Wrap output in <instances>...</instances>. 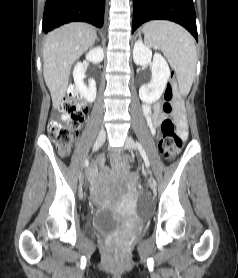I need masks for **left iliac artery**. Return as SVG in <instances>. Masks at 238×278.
Here are the masks:
<instances>
[{
    "instance_id": "left-iliac-artery-1",
    "label": "left iliac artery",
    "mask_w": 238,
    "mask_h": 278,
    "mask_svg": "<svg viewBox=\"0 0 238 278\" xmlns=\"http://www.w3.org/2000/svg\"><path fill=\"white\" fill-rule=\"evenodd\" d=\"M136 146H137V148H138V150H139V152H140V154H141V156L144 160L145 165L149 167L150 162H149V159H148V157L146 155V152L144 151L142 145L139 142L136 141Z\"/></svg>"
}]
</instances>
